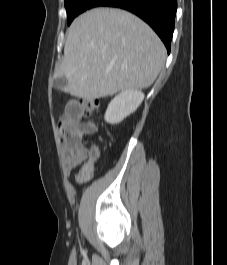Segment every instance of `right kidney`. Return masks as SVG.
Here are the masks:
<instances>
[{
  "label": "right kidney",
  "instance_id": "obj_1",
  "mask_svg": "<svg viewBox=\"0 0 227 265\" xmlns=\"http://www.w3.org/2000/svg\"><path fill=\"white\" fill-rule=\"evenodd\" d=\"M144 94L138 90H126L118 94L108 105L105 121L110 124L120 123L139 107Z\"/></svg>",
  "mask_w": 227,
  "mask_h": 265
}]
</instances>
